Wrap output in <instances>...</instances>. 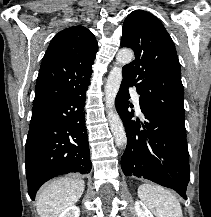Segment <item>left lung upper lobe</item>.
<instances>
[{"instance_id": "1", "label": "left lung upper lobe", "mask_w": 211, "mask_h": 217, "mask_svg": "<svg viewBox=\"0 0 211 217\" xmlns=\"http://www.w3.org/2000/svg\"><path fill=\"white\" fill-rule=\"evenodd\" d=\"M121 47L135 59L123 67V81L135 85L140 103L156 114L184 124V88L175 45L159 19L147 11L124 21Z\"/></svg>"}]
</instances>
